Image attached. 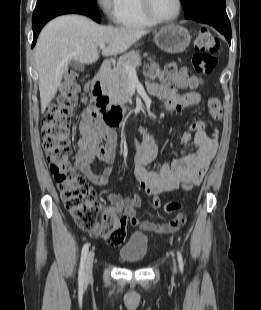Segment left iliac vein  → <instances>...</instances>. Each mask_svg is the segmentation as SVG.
Here are the masks:
<instances>
[{
    "mask_svg": "<svg viewBox=\"0 0 261 310\" xmlns=\"http://www.w3.org/2000/svg\"><path fill=\"white\" fill-rule=\"evenodd\" d=\"M174 273L176 272V266L174 265V269H173Z\"/></svg>",
    "mask_w": 261,
    "mask_h": 310,
    "instance_id": "left-iliac-vein-1",
    "label": "left iliac vein"
}]
</instances>
